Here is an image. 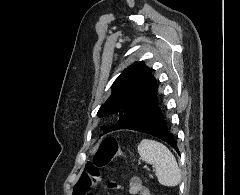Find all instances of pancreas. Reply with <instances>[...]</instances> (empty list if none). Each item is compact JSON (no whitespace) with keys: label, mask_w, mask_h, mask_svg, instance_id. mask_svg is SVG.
Listing matches in <instances>:
<instances>
[{"label":"pancreas","mask_w":240,"mask_h":195,"mask_svg":"<svg viewBox=\"0 0 240 195\" xmlns=\"http://www.w3.org/2000/svg\"><path fill=\"white\" fill-rule=\"evenodd\" d=\"M150 177H153L152 173H150Z\"/></svg>","instance_id":"cf45deb5"}]
</instances>
